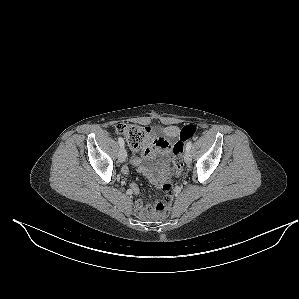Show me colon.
I'll use <instances>...</instances> for the list:
<instances>
[{
  "label": "colon",
  "mask_w": 299,
  "mask_h": 299,
  "mask_svg": "<svg viewBox=\"0 0 299 299\" xmlns=\"http://www.w3.org/2000/svg\"><path fill=\"white\" fill-rule=\"evenodd\" d=\"M116 132L122 135L128 142L130 148L141 149L149 134L147 127L121 123L116 126ZM197 132V127L195 125L189 124L185 125L180 132V139L173 146L174 153V174L178 177L183 170V149L186 141L190 140L195 136ZM165 195L161 201L156 204L153 215L155 217H162L168 214L170 211L174 193L172 186L170 184L164 185Z\"/></svg>",
  "instance_id": "5ec220e1"
}]
</instances>
